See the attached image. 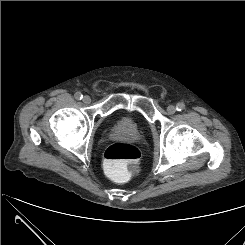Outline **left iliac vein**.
<instances>
[{"instance_id": "1", "label": "left iliac vein", "mask_w": 245, "mask_h": 245, "mask_svg": "<svg viewBox=\"0 0 245 245\" xmlns=\"http://www.w3.org/2000/svg\"><path fill=\"white\" fill-rule=\"evenodd\" d=\"M167 112H168L169 114H174V113L176 112V107H175L174 105H169V106L167 107Z\"/></svg>"}]
</instances>
